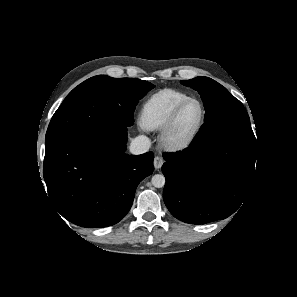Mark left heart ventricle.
<instances>
[{"mask_svg": "<svg viewBox=\"0 0 297 297\" xmlns=\"http://www.w3.org/2000/svg\"><path fill=\"white\" fill-rule=\"evenodd\" d=\"M201 117V108L198 103L191 102L180 113L173 136L175 139H184L191 134Z\"/></svg>", "mask_w": 297, "mask_h": 297, "instance_id": "b2bd125f", "label": "left heart ventricle"}]
</instances>
